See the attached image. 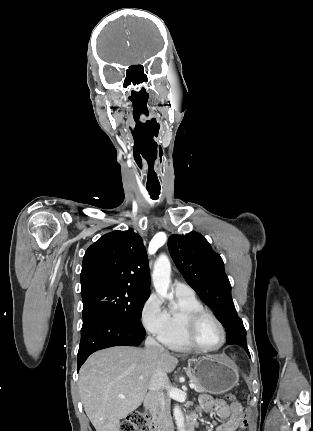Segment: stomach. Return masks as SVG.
Instances as JSON below:
<instances>
[{"mask_svg": "<svg viewBox=\"0 0 313 431\" xmlns=\"http://www.w3.org/2000/svg\"><path fill=\"white\" fill-rule=\"evenodd\" d=\"M190 362L194 366L188 370L206 392L222 394L238 384L239 374L235 365L221 356H203Z\"/></svg>", "mask_w": 313, "mask_h": 431, "instance_id": "0dacf381", "label": "stomach"}]
</instances>
